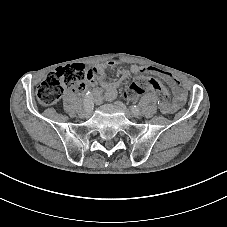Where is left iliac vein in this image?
<instances>
[{
	"label": "left iliac vein",
	"instance_id": "obj_1",
	"mask_svg": "<svg viewBox=\"0 0 227 227\" xmlns=\"http://www.w3.org/2000/svg\"><path fill=\"white\" fill-rule=\"evenodd\" d=\"M116 105H117L118 108H120L125 113L127 118H131L134 115H136L135 112H134L136 110L135 108H134L133 111H130L129 109L126 108V106L123 103H121L119 101L116 102Z\"/></svg>",
	"mask_w": 227,
	"mask_h": 227
}]
</instances>
